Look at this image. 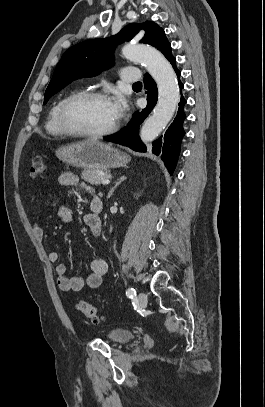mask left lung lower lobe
<instances>
[{
	"instance_id": "left-lung-lower-lobe-1",
	"label": "left lung lower lobe",
	"mask_w": 265,
	"mask_h": 407,
	"mask_svg": "<svg viewBox=\"0 0 265 407\" xmlns=\"http://www.w3.org/2000/svg\"><path fill=\"white\" fill-rule=\"evenodd\" d=\"M170 63L175 70L176 75L178 76L179 87L180 89H183L184 85L179 79L181 72L176 67V59L172 58L170 60ZM144 86L148 90L147 107L140 113L136 112L127 127L122 129L120 132L104 137L106 141H111L123 146H127L134 151L146 152V146L139 138V126L154 108L157 102L158 92L154 80L148 74L144 76ZM185 103L186 100L183 96H181L180 103L178 104L179 109L177 112V116L166 131L164 138L162 139V137H160L158 140L153 142L152 152L156 155L161 156V159L164 161L170 174L173 173L176 167L177 159L180 153L181 140L185 135L183 129V121L186 118V115L184 113Z\"/></svg>"
}]
</instances>
